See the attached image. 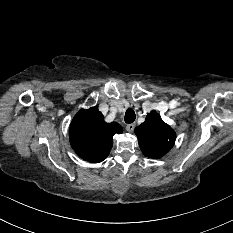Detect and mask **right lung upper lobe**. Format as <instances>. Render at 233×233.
Listing matches in <instances>:
<instances>
[{
	"instance_id": "right-lung-upper-lobe-1",
	"label": "right lung upper lobe",
	"mask_w": 233,
	"mask_h": 233,
	"mask_svg": "<svg viewBox=\"0 0 233 233\" xmlns=\"http://www.w3.org/2000/svg\"><path fill=\"white\" fill-rule=\"evenodd\" d=\"M123 132L116 123H106L97 107L80 110L73 118L69 139L73 150L82 159L99 163L110 153L114 134Z\"/></svg>"
}]
</instances>
